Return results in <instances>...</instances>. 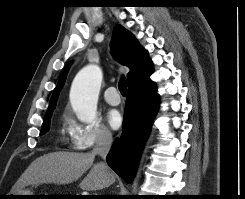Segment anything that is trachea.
<instances>
[{
    "label": "trachea",
    "instance_id": "1",
    "mask_svg": "<svg viewBox=\"0 0 245 199\" xmlns=\"http://www.w3.org/2000/svg\"><path fill=\"white\" fill-rule=\"evenodd\" d=\"M118 88H119V91L121 92L122 95L126 94V79H125V77L120 79V81L118 83Z\"/></svg>",
    "mask_w": 245,
    "mask_h": 199
}]
</instances>
